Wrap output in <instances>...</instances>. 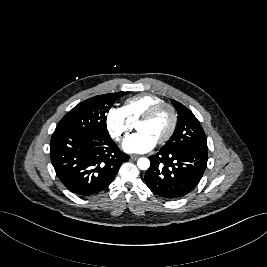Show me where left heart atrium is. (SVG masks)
Here are the masks:
<instances>
[{
	"instance_id": "obj_1",
	"label": "left heart atrium",
	"mask_w": 267,
	"mask_h": 267,
	"mask_svg": "<svg viewBox=\"0 0 267 267\" xmlns=\"http://www.w3.org/2000/svg\"><path fill=\"white\" fill-rule=\"evenodd\" d=\"M157 144V140L144 132H137L128 136L122 144L123 149L128 153H145L150 151Z\"/></svg>"
}]
</instances>
